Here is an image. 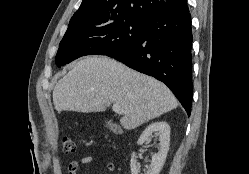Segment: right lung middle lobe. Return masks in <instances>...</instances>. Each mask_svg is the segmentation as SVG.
Listing matches in <instances>:
<instances>
[{
  "instance_id": "right-lung-middle-lobe-1",
  "label": "right lung middle lobe",
  "mask_w": 249,
  "mask_h": 174,
  "mask_svg": "<svg viewBox=\"0 0 249 174\" xmlns=\"http://www.w3.org/2000/svg\"><path fill=\"white\" fill-rule=\"evenodd\" d=\"M145 21L123 18L67 30L59 45L56 64L61 67L81 56L122 52L141 37Z\"/></svg>"
}]
</instances>
